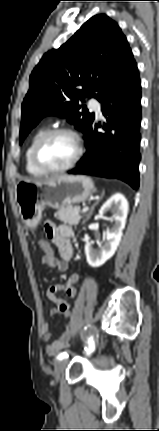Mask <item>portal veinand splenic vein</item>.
I'll use <instances>...</instances> for the list:
<instances>
[{"label": "portal vein and splenic vein", "instance_id": "obj_1", "mask_svg": "<svg viewBox=\"0 0 159 431\" xmlns=\"http://www.w3.org/2000/svg\"><path fill=\"white\" fill-rule=\"evenodd\" d=\"M88 207H84L82 210H81V212H87L88 211Z\"/></svg>", "mask_w": 159, "mask_h": 431}]
</instances>
